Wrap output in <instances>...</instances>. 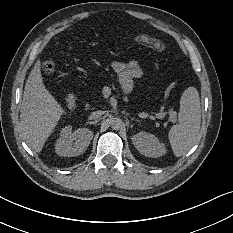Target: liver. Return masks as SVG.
Returning <instances> with one entry per match:
<instances>
[{
	"mask_svg": "<svg viewBox=\"0 0 233 233\" xmlns=\"http://www.w3.org/2000/svg\"><path fill=\"white\" fill-rule=\"evenodd\" d=\"M60 113L58 103L43 86L40 61H37L26 81L20 109L23 137L35 151L41 150Z\"/></svg>",
	"mask_w": 233,
	"mask_h": 233,
	"instance_id": "6515ba94",
	"label": "liver"
}]
</instances>
